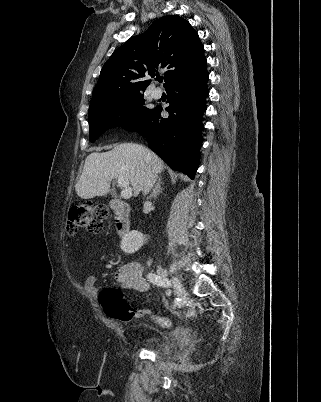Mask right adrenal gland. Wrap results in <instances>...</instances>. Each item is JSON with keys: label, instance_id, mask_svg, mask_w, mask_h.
<instances>
[{"label": "right adrenal gland", "instance_id": "1", "mask_svg": "<svg viewBox=\"0 0 321 402\" xmlns=\"http://www.w3.org/2000/svg\"><path fill=\"white\" fill-rule=\"evenodd\" d=\"M161 180H162V178L159 177L155 188L153 189L152 193L150 194V196L148 198H155L162 191Z\"/></svg>", "mask_w": 321, "mask_h": 402}]
</instances>
